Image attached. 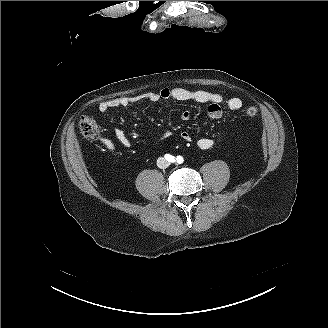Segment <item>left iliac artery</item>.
I'll return each instance as SVG.
<instances>
[{
    "label": "left iliac artery",
    "mask_w": 328,
    "mask_h": 328,
    "mask_svg": "<svg viewBox=\"0 0 328 328\" xmlns=\"http://www.w3.org/2000/svg\"><path fill=\"white\" fill-rule=\"evenodd\" d=\"M178 159H182V157L181 156H177L176 160H178Z\"/></svg>",
    "instance_id": "obj_1"
}]
</instances>
